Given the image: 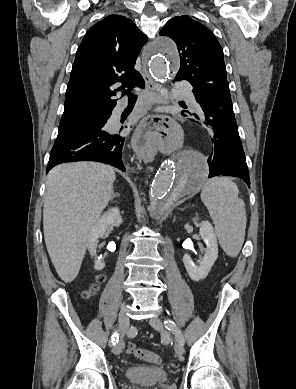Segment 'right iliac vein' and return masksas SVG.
<instances>
[{
  "instance_id": "1",
  "label": "right iliac vein",
  "mask_w": 296,
  "mask_h": 389,
  "mask_svg": "<svg viewBox=\"0 0 296 389\" xmlns=\"http://www.w3.org/2000/svg\"><path fill=\"white\" fill-rule=\"evenodd\" d=\"M118 322H119V332H120L121 338L113 348V353L115 355H118L122 352V348H123L122 336L129 326V318L126 314V309L124 307L121 309V311L119 313Z\"/></svg>"
}]
</instances>
